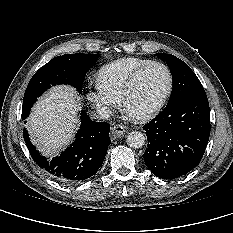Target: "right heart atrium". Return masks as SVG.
Returning a JSON list of instances; mask_svg holds the SVG:
<instances>
[{"label":"right heart atrium","mask_w":233,"mask_h":233,"mask_svg":"<svg viewBox=\"0 0 233 233\" xmlns=\"http://www.w3.org/2000/svg\"><path fill=\"white\" fill-rule=\"evenodd\" d=\"M86 97L102 115L112 112L118 103V98L107 92L98 81L94 82L92 87L88 89Z\"/></svg>","instance_id":"obj_1"}]
</instances>
